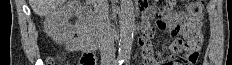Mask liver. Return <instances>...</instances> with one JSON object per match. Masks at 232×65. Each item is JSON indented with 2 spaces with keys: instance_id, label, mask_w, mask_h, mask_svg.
<instances>
[{
  "instance_id": "1",
  "label": "liver",
  "mask_w": 232,
  "mask_h": 65,
  "mask_svg": "<svg viewBox=\"0 0 232 65\" xmlns=\"http://www.w3.org/2000/svg\"><path fill=\"white\" fill-rule=\"evenodd\" d=\"M65 1L66 0H29V4L35 14L39 16H47Z\"/></svg>"
}]
</instances>
